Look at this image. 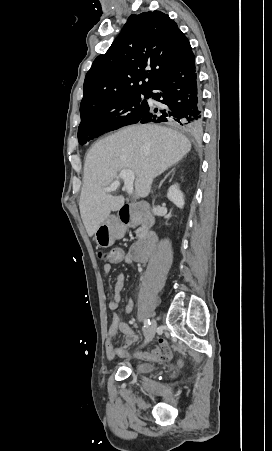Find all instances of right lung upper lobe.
I'll return each instance as SVG.
<instances>
[{
    "label": "right lung upper lobe",
    "mask_w": 272,
    "mask_h": 451,
    "mask_svg": "<svg viewBox=\"0 0 272 451\" xmlns=\"http://www.w3.org/2000/svg\"><path fill=\"white\" fill-rule=\"evenodd\" d=\"M190 52L187 37L167 14L131 15L107 52L99 55L87 72L80 113L110 100L149 93Z\"/></svg>",
    "instance_id": "obj_1"
}]
</instances>
